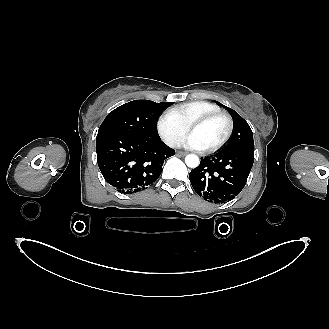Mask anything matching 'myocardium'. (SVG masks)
Masks as SVG:
<instances>
[{"instance_id": "myocardium-1", "label": "myocardium", "mask_w": 329, "mask_h": 329, "mask_svg": "<svg viewBox=\"0 0 329 329\" xmlns=\"http://www.w3.org/2000/svg\"><path fill=\"white\" fill-rule=\"evenodd\" d=\"M216 118H223L226 120L227 131H226L224 137L217 144H215L214 146H212L210 148L202 149L203 153H214V152L218 151L219 149H221L229 141V139L233 133V128H234L233 119L226 112L218 111V112L209 113L207 115L199 117V118L195 119L194 121H192L188 126V132H191L192 129H194L198 126H201Z\"/></svg>"}]
</instances>
